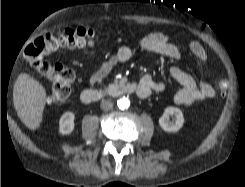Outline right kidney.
<instances>
[{
    "label": "right kidney",
    "instance_id": "ca27d5eb",
    "mask_svg": "<svg viewBox=\"0 0 245 187\" xmlns=\"http://www.w3.org/2000/svg\"><path fill=\"white\" fill-rule=\"evenodd\" d=\"M75 114L73 112H65L59 121V133L61 135H69L73 132L75 124Z\"/></svg>",
    "mask_w": 245,
    "mask_h": 187
}]
</instances>
